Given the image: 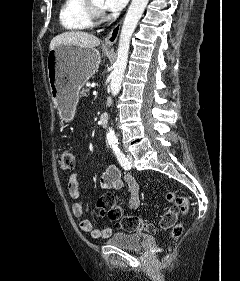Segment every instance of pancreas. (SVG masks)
Returning a JSON list of instances; mask_svg holds the SVG:
<instances>
[{
	"mask_svg": "<svg viewBox=\"0 0 240 281\" xmlns=\"http://www.w3.org/2000/svg\"><path fill=\"white\" fill-rule=\"evenodd\" d=\"M89 95V88H83L80 96L87 97Z\"/></svg>",
	"mask_w": 240,
	"mask_h": 281,
	"instance_id": "pancreas-1",
	"label": "pancreas"
}]
</instances>
